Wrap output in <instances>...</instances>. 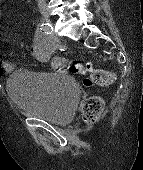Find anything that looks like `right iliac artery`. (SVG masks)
<instances>
[{
  "label": "right iliac artery",
  "mask_w": 143,
  "mask_h": 170,
  "mask_svg": "<svg viewBox=\"0 0 143 170\" xmlns=\"http://www.w3.org/2000/svg\"><path fill=\"white\" fill-rule=\"evenodd\" d=\"M41 32L49 34L51 33L52 26L49 23H41L38 28Z\"/></svg>",
  "instance_id": "right-iliac-artery-1"
}]
</instances>
